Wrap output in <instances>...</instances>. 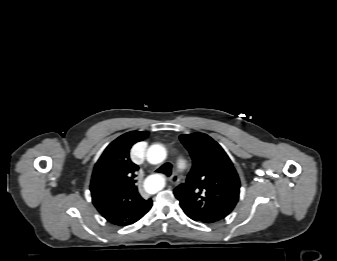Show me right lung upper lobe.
Listing matches in <instances>:
<instances>
[{
    "label": "right lung upper lobe",
    "mask_w": 337,
    "mask_h": 261,
    "mask_svg": "<svg viewBox=\"0 0 337 261\" xmlns=\"http://www.w3.org/2000/svg\"><path fill=\"white\" fill-rule=\"evenodd\" d=\"M148 132L131 131L114 140L97 161L90 190L97 210L109 222L126 226L138 221L151 208L152 200H144L137 189L139 167L129 157L132 145L142 141Z\"/></svg>",
    "instance_id": "obj_1"
}]
</instances>
